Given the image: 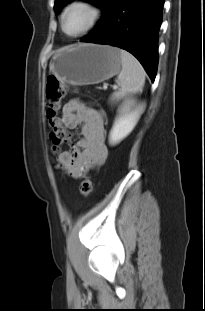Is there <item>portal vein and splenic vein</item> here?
I'll use <instances>...</instances> for the list:
<instances>
[{
    "mask_svg": "<svg viewBox=\"0 0 205 311\" xmlns=\"http://www.w3.org/2000/svg\"><path fill=\"white\" fill-rule=\"evenodd\" d=\"M117 88V86H114V89H116Z\"/></svg>",
    "mask_w": 205,
    "mask_h": 311,
    "instance_id": "obj_1",
    "label": "portal vein and splenic vein"
}]
</instances>
